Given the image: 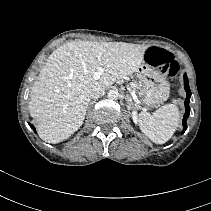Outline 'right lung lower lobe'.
Masks as SVG:
<instances>
[{
	"label": "right lung lower lobe",
	"instance_id": "1",
	"mask_svg": "<svg viewBox=\"0 0 211 211\" xmlns=\"http://www.w3.org/2000/svg\"><path fill=\"white\" fill-rule=\"evenodd\" d=\"M29 125L34 130V132H36L35 127L32 124H30V123H29Z\"/></svg>",
	"mask_w": 211,
	"mask_h": 211
}]
</instances>
